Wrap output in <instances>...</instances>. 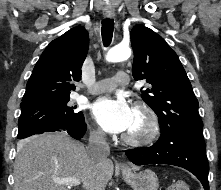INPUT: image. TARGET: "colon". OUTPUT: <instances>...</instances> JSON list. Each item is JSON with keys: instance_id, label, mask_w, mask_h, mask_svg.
Returning <instances> with one entry per match:
<instances>
[{"instance_id": "obj_1", "label": "colon", "mask_w": 221, "mask_h": 190, "mask_svg": "<svg viewBox=\"0 0 221 190\" xmlns=\"http://www.w3.org/2000/svg\"><path fill=\"white\" fill-rule=\"evenodd\" d=\"M169 190H188L186 183L183 180L177 181Z\"/></svg>"}]
</instances>
